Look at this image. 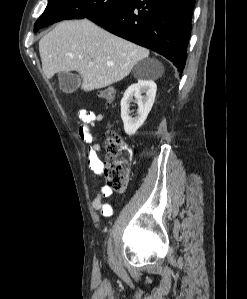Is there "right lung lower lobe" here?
<instances>
[{
  "mask_svg": "<svg viewBox=\"0 0 247 299\" xmlns=\"http://www.w3.org/2000/svg\"><path fill=\"white\" fill-rule=\"evenodd\" d=\"M195 0H127L89 18L109 32L149 48L182 73Z\"/></svg>",
  "mask_w": 247,
  "mask_h": 299,
  "instance_id": "1",
  "label": "right lung lower lobe"
}]
</instances>
